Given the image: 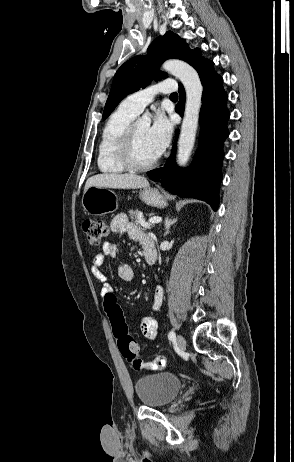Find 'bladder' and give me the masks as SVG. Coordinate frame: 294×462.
<instances>
[{
    "mask_svg": "<svg viewBox=\"0 0 294 462\" xmlns=\"http://www.w3.org/2000/svg\"><path fill=\"white\" fill-rule=\"evenodd\" d=\"M182 380L174 374L161 372L138 378L134 383L141 403L148 407H163L172 403L182 389Z\"/></svg>",
    "mask_w": 294,
    "mask_h": 462,
    "instance_id": "31cf9c89",
    "label": "bladder"
}]
</instances>
